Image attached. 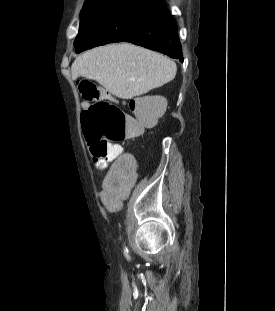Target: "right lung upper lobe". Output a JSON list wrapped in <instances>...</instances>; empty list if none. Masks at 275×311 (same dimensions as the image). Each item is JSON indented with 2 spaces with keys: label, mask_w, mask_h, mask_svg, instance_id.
<instances>
[{
  "label": "right lung upper lobe",
  "mask_w": 275,
  "mask_h": 311,
  "mask_svg": "<svg viewBox=\"0 0 275 311\" xmlns=\"http://www.w3.org/2000/svg\"><path fill=\"white\" fill-rule=\"evenodd\" d=\"M148 1H154V2H160V3H163L161 0H148Z\"/></svg>",
  "instance_id": "1"
}]
</instances>
